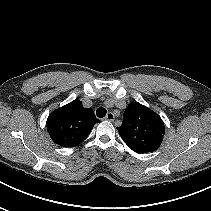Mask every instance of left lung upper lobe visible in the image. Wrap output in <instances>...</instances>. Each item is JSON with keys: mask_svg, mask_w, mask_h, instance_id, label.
<instances>
[{"mask_svg": "<svg viewBox=\"0 0 211 211\" xmlns=\"http://www.w3.org/2000/svg\"><path fill=\"white\" fill-rule=\"evenodd\" d=\"M117 130L133 151L146 153L159 148L165 126L158 114L138 102H133L125 109L122 125Z\"/></svg>", "mask_w": 211, "mask_h": 211, "instance_id": "5c2ea615", "label": "left lung upper lobe"}]
</instances>
